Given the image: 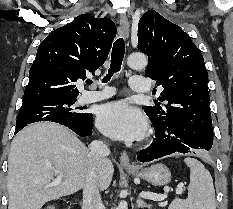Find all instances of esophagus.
Wrapping results in <instances>:
<instances>
[{"instance_id": "obj_1", "label": "esophagus", "mask_w": 233, "mask_h": 209, "mask_svg": "<svg viewBox=\"0 0 233 209\" xmlns=\"http://www.w3.org/2000/svg\"><path fill=\"white\" fill-rule=\"evenodd\" d=\"M120 31L122 35L128 39L129 36V21L125 15L120 16ZM120 164L125 168H134L130 163L129 156L126 151H123L120 155Z\"/></svg>"}]
</instances>
